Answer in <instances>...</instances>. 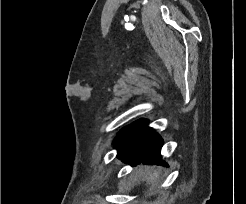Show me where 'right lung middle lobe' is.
<instances>
[{
	"label": "right lung middle lobe",
	"instance_id": "1",
	"mask_svg": "<svg viewBox=\"0 0 246 204\" xmlns=\"http://www.w3.org/2000/svg\"><path fill=\"white\" fill-rule=\"evenodd\" d=\"M117 137H118V135H117ZM117 137H116V139H115L114 145H115V143H116V141H117Z\"/></svg>",
	"mask_w": 246,
	"mask_h": 204
}]
</instances>
